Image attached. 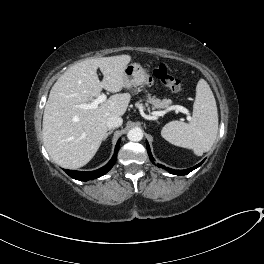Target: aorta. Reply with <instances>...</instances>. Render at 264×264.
I'll use <instances>...</instances> for the list:
<instances>
[{
	"label": "aorta",
	"mask_w": 264,
	"mask_h": 264,
	"mask_svg": "<svg viewBox=\"0 0 264 264\" xmlns=\"http://www.w3.org/2000/svg\"><path fill=\"white\" fill-rule=\"evenodd\" d=\"M127 138L134 142L140 141L143 138V132L140 128H133L128 131Z\"/></svg>",
	"instance_id": "762f6f07"
}]
</instances>
